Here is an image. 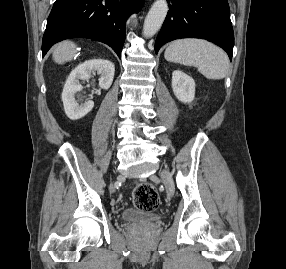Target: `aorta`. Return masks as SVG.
I'll list each match as a JSON object with an SVG mask.
<instances>
[{"instance_id":"762f6f07","label":"aorta","mask_w":286,"mask_h":269,"mask_svg":"<svg viewBox=\"0 0 286 269\" xmlns=\"http://www.w3.org/2000/svg\"><path fill=\"white\" fill-rule=\"evenodd\" d=\"M168 12L166 0H156L149 10L143 25V35L145 37L154 36L161 28Z\"/></svg>"}]
</instances>
